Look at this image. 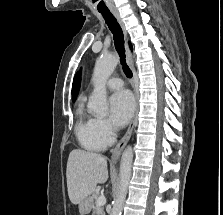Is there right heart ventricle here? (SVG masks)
<instances>
[{"label":"right heart ventricle","mask_w":223,"mask_h":215,"mask_svg":"<svg viewBox=\"0 0 223 215\" xmlns=\"http://www.w3.org/2000/svg\"><path fill=\"white\" fill-rule=\"evenodd\" d=\"M75 134L82 147L89 151H103L108 141L101 137L96 128V118L80 106L76 112Z\"/></svg>","instance_id":"right-heart-ventricle-1"}]
</instances>
